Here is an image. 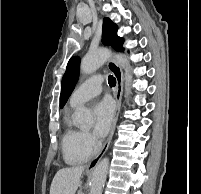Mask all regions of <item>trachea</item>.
I'll use <instances>...</instances> for the list:
<instances>
[{
    "mask_svg": "<svg viewBox=\"0 0 201 194\" xmlns=\"http://www.w3.org/2000/svg\"><path fill=\"white\" fill-rule=\"evenodd\" d=\"M108 84L113 87L116 85V79L112 76V75H109L108 76Z\"/></svg>",
    "mask_w": 201,
    "mask_h": 194,
    "instance_id": "obj_1",
    "label": "trachea"
}]
</instances>
